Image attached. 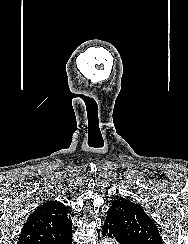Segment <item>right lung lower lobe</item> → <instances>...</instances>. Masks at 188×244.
Masks as SVG:
<instances>
[{
    "instance_id": "1",
    "label": "right lung lower lobe",
    "mask_w": 188,
    "mask_h": 244,
    "mask_svg": "<svg viewBox=\"0 0 188 244\" xmlns=\"http://www.w3.org/2000/svg\"><path fill=\"white\" fill-rule=\"evenodd\" d=\"M46 244H72V231L67 232L64 236L53 242Z\"/></svg>"
}]
</instances>
